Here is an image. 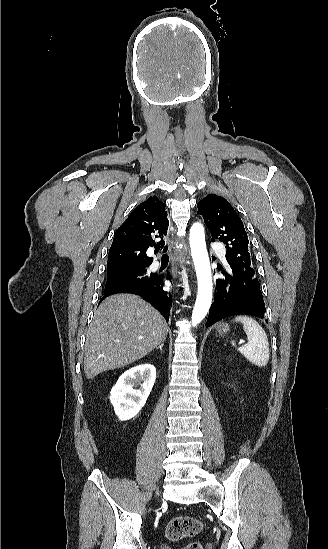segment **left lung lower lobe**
Masks as SVG:
<instances>
[{
  "instance_id": "left-lung-lower-lobe-1",
  "label": "left lung lower lobe",
  "mask_w": 328,
  "mask_h": 549,
  "mask_svg": "<svg viewBox=\"0 0 328 549\" xmlns=\"http://www.w3.org/2000/svg\"><path fill=\"white\" fill-rule=\"evenodd\" d=\"M223 273L225 279L216 281L217 292L209 310L206 326L235 315L264 318L265 304L257 278L233 266H230L228 272L223 270Z\"/></svg>"
}]
</instances>
